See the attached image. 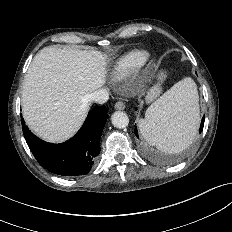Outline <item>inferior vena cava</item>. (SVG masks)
<instances>
[{
  "mask_svg": "<svg viewBox=\"0 0 232 232\" xmlns=\"http://www.w3.org/2000/svg\"><path fill=\"white\" fill-rule=\"evenodd\" d=\"M109 99V93L106 89H99L88 95V100L91 102L103 104Z\"/></svg>",
  "mask_w": 232,
  "mask_h": 232,
  "instance_id": "1",
  "label": "inferior vena cava"
}]
</instances>
